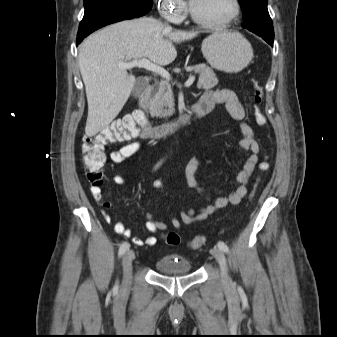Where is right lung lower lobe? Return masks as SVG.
Segmentation results:
<instances>
[{
    "mask_svg": "<svg viewBox=\"0 0 337 337\" xmlns=\"http://www.w3.org/2000/svg\"><path fill=\"white\" fill-rule=\"evenodd\" d=\"M153 2L137 3L131 0H92L85 5L84 17L79 25L77 44L93 31L108 24L137 18L148 13Z\"/></svg>",
    "mask_w": 337,
    "mask_h": 337,
    "instance_id": "obj_1",
    "label": "right lung lower lobe"
}]
</instances>
